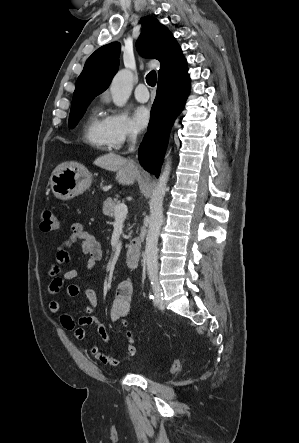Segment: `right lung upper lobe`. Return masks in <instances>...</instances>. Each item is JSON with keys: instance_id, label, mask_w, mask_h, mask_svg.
<instances>
[{"instance_id": "1", "label": "right lung upper lobe", "mask_w": 299, "mask_h": 443, "mask_svg": "<svg viewBox=\"0 0 299 443\" xmlns=\"http://www.w3.org/2000/svg\"><path fill=\"white\" fill-rule=\"evenodd\" d=\"M143 26L136 47L143 57L160 61L159 79L185 73L186 60L168 29L150 16L145 19ZM119 53L120 44L113 42L100 47L88 58L76 82L72 107L92 101L107 89L118 71Z\"/></svg>"}]
</instances>
